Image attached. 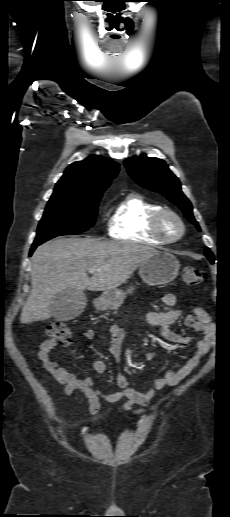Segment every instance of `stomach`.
I'll list each match as a JSON object with an SVG mask.
<instances>
[{"label":"stomach","mask_w":230,"mask_h":517,"mask_svg":"<svg viewBox=\"0 0 230 517\" xmlns=\"http://www.w3.org/2000/svg\"><path fill=\"white\" fill-rule=\"evenodd\" d=\"M180 264L176 257L168 252L157 251L139 266V275L150 285H162L173 281L179 273ZM133 287L126 292L120 289L105 290L97 299L96 306L101 310H115L121 306L126 295L132 293Z\"/></svg>","instance_id":"1"}]
</instances>
